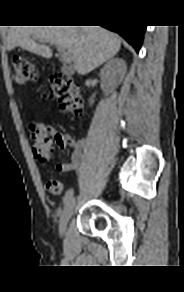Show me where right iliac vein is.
Instances as JSON below:
<instances>
[{
    "label": "right iliac vein",
    "mask_w": 184,
    "mask_h": 292,
    "mask_svg": "<svg viewBox=\"0 0 184 292\" xmlns=\"http://www.w3.org/2000/svg\"><path fill=\"white\" fill-rule=\"evenodd\" d=\"M75 208V198H71L65 205L63 210L60 223H59V232L63 235L66 231L67 224L69 219L71 218Z\"/></svg>",
    "instance_id": "right-iliac-vein-1"
}]
</instances>
